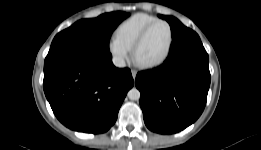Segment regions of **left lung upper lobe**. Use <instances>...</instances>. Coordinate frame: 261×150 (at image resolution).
Returning <instances> with one entry per match:
<instances>
[{
  "label": "left lung upper lobe",
  "mask_w": 261,
  "mask_h": 150,
  "mask_svg": "<svg viewBox=\"0 0 261 150\" xmlns=\"http://www.w3.org/2000/svg\"><path fill=\"white\" fill-rule=\"evenodd\" d=\"M159 17L165 19L170 24L173 38L187 28L175 17L164 15H159Z\"/></svg>",
  "instance_id": "obj_1"
}]
</instances>
